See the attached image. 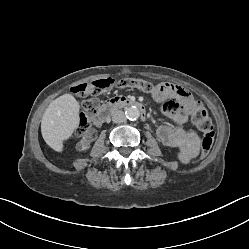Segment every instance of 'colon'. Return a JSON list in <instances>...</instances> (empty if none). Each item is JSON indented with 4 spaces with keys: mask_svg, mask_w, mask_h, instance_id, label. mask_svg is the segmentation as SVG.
I'll use <instances>...</instances> for the list:
<instances>
[{
    "mask_svg": "<svg viewBox=\"0 0 249 249\" xmlns=\"http://www.w3.org/2000/svg\"><path fill=\"white\" fill-rule=\"evenodd\" d=\"M120 88H137L146 93H157V87L144 79L122 78L115 82L111 79H100L91 82L79 83L71 88V92L80 98H87L83 104V111L79 116V126L76 136L82 137L90 129L98 112L97 96L105 93L112 86ZM194 121L203 134L202 156H205L211 149L214 140V126L212 119L205 107L199 105L195 114Z\"/></svg>",
    "mask_w": 249,
    "mask_h": 249,
    "instance_id": "1",
    "label": "colon"
}]
</instances>
